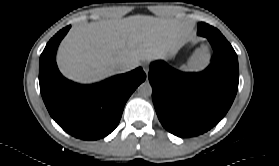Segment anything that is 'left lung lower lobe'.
I'll use <instances>...</instances> for the list:
<instances>
[{"instance_id":"1","label":"left lung lower lobe","mask_w":279,"mask_h":166,"mask_svg":"<svg viewBox=\"0 0 279 166\" xmlns=\"http://www.w3.org/2000/svg\"><path fill=\"white\" fill-rule=\"evenodd\" d=\"M197 34L214 50L212 65L201 73L175 70L163 61L151 64L148 74L152 99L163 127L179 137L202 134L227 113L239 81L237 54L221 32L198 23Z\"/></svg>"}]
</instances>
